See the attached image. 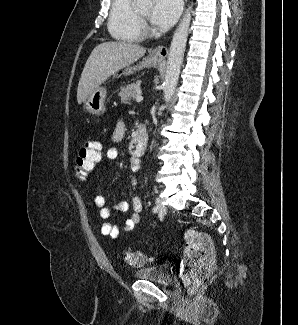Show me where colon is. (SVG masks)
Segmentation results:
<instances>
[{
	"mask_svg": "<svg viewBox=\"0 0 298 325\" xmlns=\"http://www.w3.org/2000/svg\"><path fill=\"white\" fill-rule=\"evenodd\" d=\"M102 146L99 141L86 140L81 146L75 162V175L84 180L91 174L101 158ZM185 246L180 264V276L190 290H195L207 282L215 267V256L209 236L198 230L185 234ZM124 261L132 267L145 265L149 258L138 250L124 253Z\"/></svg>",
	"mask_w": 298,
	"mask_h": 325,
	"instance_id": "colon-1",
	"label": "colon"
}]
</instances>
